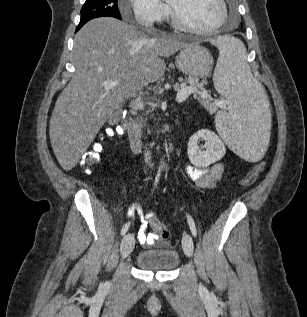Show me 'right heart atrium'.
Segmentation results:
<instances>
[{
  "instance_id": "d8ad5b80",
  "label": "right heart atrium",
  "mask_w": 307,
  "mask_h": 317,
  "mask_svg": "<svg viewBox=\"0 0 307 317\" xmlns=\"http://www.w3.org/2000/svg\"><path fill=\"white\" fill-rule=\"evenodd\" d=\"M130 9L121 6L123 17H128L130 12L135 21L144 27H152L161 23L168 15L166 5L160 0H129Z\"/></svg>"
}]
</instances>
